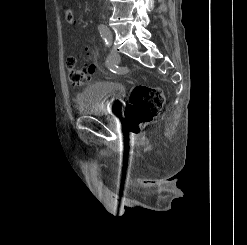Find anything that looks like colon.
I'll use <instances>...</instances> for the list:
<instances>
[{
  "instance_id": "5ec220e1",
  "label": "colon",
  "mask_w": 247,
  "mask_h": 245,
  "mask_svg": "<svg viewBox=\"0 0 247 245\" xmlns=\"http://www.w3.org/2000/svg\"><path fill=\"white\" fill-rule=\"evenodd\" d=\"M67 76L69 81L76 86L85 84L96 68L93 64L76 68V60L69 56L66 59ZM164 103V95L158 88L146 85H137L129 97V104L125 112L128 129L137 132L141 127L159 115Z\"/></svg>"
}]
</instances>
